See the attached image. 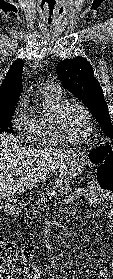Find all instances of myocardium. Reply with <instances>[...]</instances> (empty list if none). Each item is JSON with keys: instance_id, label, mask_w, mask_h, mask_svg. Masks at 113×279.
I'll return each mask as SVG.
<instances>
[{"instance_id": "f54148a6", "label": "myocardium", "mask_w": 113, "mask_h": 279, "mask_svg": "<svg viewBox=\"0 0 113 279\" xmlns=\"http://www.w3.org/2000/svg\"><path fill=\"white\" fill-rule=\"evenodd\" d=\"M70 104L77 105L85 114L87 120H88V131L84 136L81 137H70L64 134L62 131L60 125H59V119L63 112V110L66 108V106ZM50 126L52 129V132L54 134V137L56 140H58L60 143H66V144H80L85 141H87L94 133L95 129V122L94 118L90 112V110L79 100L74 98H67L58 103V105L54 108V110L51 113L50 116Z\"/></svg>"}]
</instances>
